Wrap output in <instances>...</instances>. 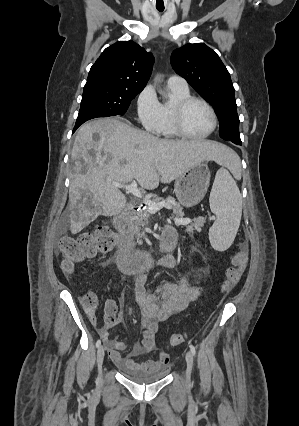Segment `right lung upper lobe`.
I'll return each mask as SVG.
<instances>
[{"mask_svg":"<svg viewBox=\"0 0 299 426\" xmlns=\"http://www.w3.org/2000/svg\"><path fill=\"white\" fill-rule=\"evenodd\" d=\"M154 58L133 41L107 47L91 67L85 85L105 84L143 90L151 75Z\"/></svg>","mask_w":299,"mask_h":426,"instance_id":"obj_1","label":"right lung upper lobe"}]
</instances>
